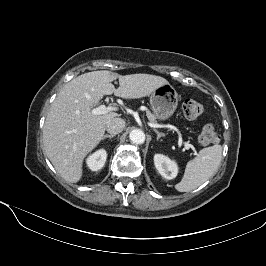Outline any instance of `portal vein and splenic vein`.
Listing matches in <instances>:
<instances>
[{
	"label": "portal vein and splenic vein",
	"instance_id": "18ae733b",
	"mask_svg": "<svg viewBox=\"0 0 266 266\" xmlns=\"http://www.w3.org/2000/svg\"><path fill=\"white\" fill-rule=\"evenodd\" d=\"M118 110H119V108L116 105H112V106L100 105L97 108L92 109V114L93 115H102V114H107L109 112L118 111ZM180 141L182 143V140H180ZM183 144H184L185 149H187V150L192 147L187 142H183Z\"/></svg>",
	"mask_w": 266,
	"mask_h": 266
}]
</instances>
